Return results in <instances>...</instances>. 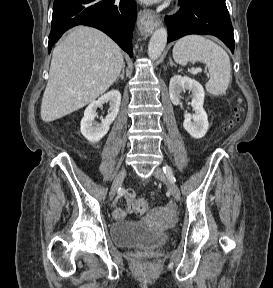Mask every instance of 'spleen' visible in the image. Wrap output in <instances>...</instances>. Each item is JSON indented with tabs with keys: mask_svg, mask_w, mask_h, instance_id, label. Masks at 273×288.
Here are the masks:
<instances>
[{
	"mask_svg": "<svg viewBox=\"0 0 273 288\" xmlns=\"http://www.w3.org/2000/svg\"><path fill=\"white\" fill-rule=\"evenodd\" d=\"M173 58L183 66L188 62L205 63L210 73V79L205 85L208 93L221 95L227 90L231 77L230 59L214 41L201 35L185 36L174 45Z\"/></svg>",
	"mask_w": 273,
	"mask_h": 288,
	"instance_id": "spleen-1",
	"label": "spleen"
}]
</instances>
